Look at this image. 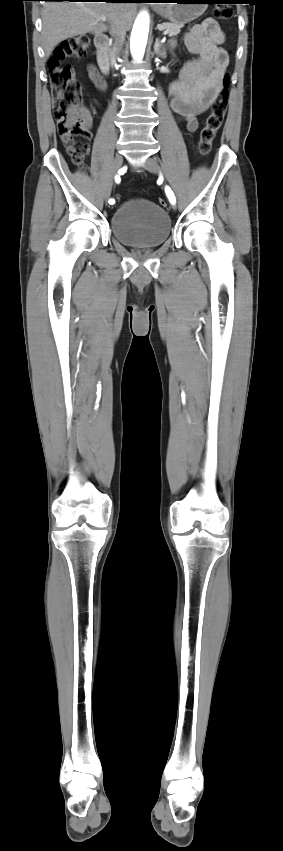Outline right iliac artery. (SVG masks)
Masks as SVG:
<instances>
[{
  "label": "right iliac artery",
  "instance_id": "82829eb1",
  "mask_svg": "<svg viewBox=\"0 0 283 851\" xmlns=\"http://www.w3.org/2000/svg\"><path fill=\"white\" fill-rule=\"evenodd\" d=\"M115 180H116V184L119 186V185L121 184L120 176H116V177H115ZM114 203H115V200H114V199H110V200H109V204H111V205H112V204H114Z\"/></svg>",
  "mask_w": 283,
  "mask_h": 851
}]
</instances>
